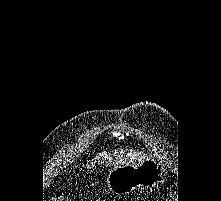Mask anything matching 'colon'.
<instances>
[{"label":"colon","instance_id":"obj_1","mask_svg":"<svg viewBox=\"0 0 221 201\" xmlns=\"http://www.w3.org/2000/svg\"><path fill=\"white\" fill-rule=\"evenodd\" d=\"M49 201H72V199L68 195L57 194L53 198H51ZM166 201H179L178 195L173 194L169 198H167Z\"/></svg>","mask_w":221,"mask_h":201}]
</instances>
